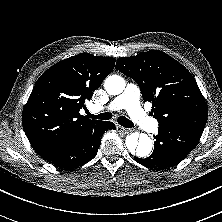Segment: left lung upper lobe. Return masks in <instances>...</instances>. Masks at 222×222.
I'll list each match as a JSON object with an SVG mask.
<instances>
[{"label":"left lung upper lobe","instance_id":"5c2ea615","mask_svg":"<svg viewBox=\"0 0 222 222\" xmlns=\"http://www.w3.org/2000/svg\"><path fill=\"white\" fill-rule=\"evenodd\" d=\"M116 69L137 82L143 99L152 102V115L159 125L204 130L205 99L190 72L174 58L151 50L119 58Z\"/></svg>","mask_w":222,"mask_h":222}]
</instances>
